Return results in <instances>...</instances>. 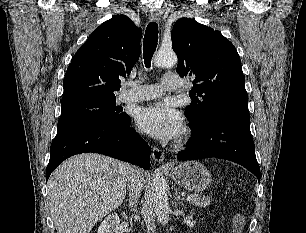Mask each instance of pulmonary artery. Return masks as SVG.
<instances>
[{
    "label": "pulmonary artery",
    "mask_w": 306,
    "mask_h": 233,
    "mask_svg": "<svg viewBox=\"0 0 306 233\" xmlns=\"http://www.w3.org/2000/svg\"><path fill=\"white\" fill-rule=\"evenodd\" d=\"M182 83L178 75H166L161 84L132 85L118 96L119 103L140 102L160 97L166 92L177 91Z\"/></svg>",
    "instance_id": "pulmonary-artery-1"
}]
</instances>
